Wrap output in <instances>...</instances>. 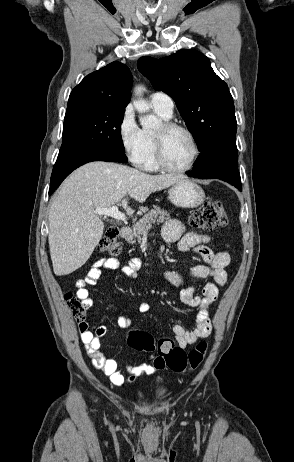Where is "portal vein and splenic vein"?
I'll use <instances>...</instances> for the list:
<instances>
[{
    "mask_svg": "<svg viewBox=\"0 0 294 462\" xmlns=\"http://www.w3.org/2000/svg\"><path fill=\"white\" fill-rule=\"evenodd\" d=\"M95 213L99 216L111 217L115 220L126 222L125 214L120 212L116 205H113L110 208H96Z\"/></svg>",
    "mask_w": 294,
    "mask_h": 462,
    "instance_id": "18ae733b",
    "label": "portal vein and splenic vein"
}]
</instances>
